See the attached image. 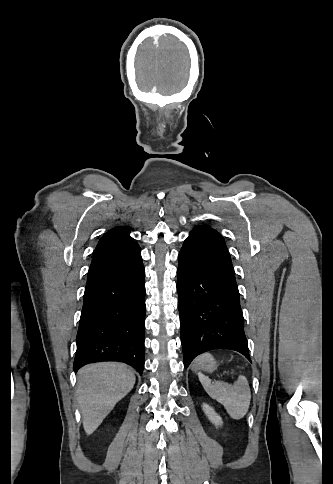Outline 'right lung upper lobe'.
<instances>
[{"instance_id": "1", "label": "right lung upper lobe", "mask_w": 333, "mask_h": 484, "mask_svg": "<svg viewBox=\"0 0 333 484\" xmlns=\"http://www.w3.org/2000/svg\"><path fill=\"white\" fill-rule=\"evenodd\" d=\"M130 227L121 226L109 230L100 239L93 256L129 249L137 243L130 236Z\"/></svg>"}]
</instances>
